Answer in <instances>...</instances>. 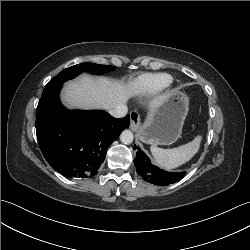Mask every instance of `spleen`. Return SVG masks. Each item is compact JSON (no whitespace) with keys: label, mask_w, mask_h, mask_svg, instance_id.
I'll return each mask as SVG.
<instances>
[{"label":"spleen","mask_w":250,"mask_h":250,"mask_svg":"<svg viewBox=\"0 0 250 250\" xmlns=\"http://www.w3.org/2000/svg\"><path fill=\"white\" fill-rule=\"evenodd\" d=\"M201 140L202 136L198 135L192 142L172 149L152 146L151 153L161 168L171 170L189 161L198 152Z\"/></svg>","instance_id":"1"}]
</instances>
